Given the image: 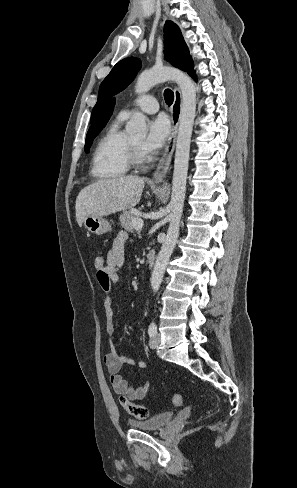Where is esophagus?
I'll return each mask as SVG.
<instances>
[{"label":"esophagus","mask_w":297,"mask_h":488,"mask_svg":"<svg viewBox=\"0 0 297 488\" xmlns=\"http://www.w3.org/2000/svg\"><path fill=\"white\" fill-rule=\"evenodd\" d=\"M181 110H182V96L179 87L176 86L174 89V102L171 108L172 130L168 138L165 151L153 174L152 180L155 183L162 182L169 170L172 156L175 149V142H176V136H177L178 126L181 117Z\"/></svg>","instance_id":"1"}]
</instances>
